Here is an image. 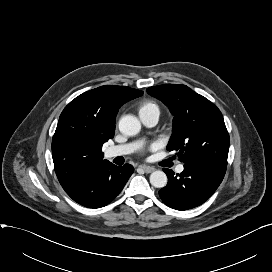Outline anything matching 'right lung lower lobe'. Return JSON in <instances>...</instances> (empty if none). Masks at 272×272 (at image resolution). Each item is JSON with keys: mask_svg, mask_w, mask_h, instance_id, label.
<instances>
[{"mask_svg": "<svg viewBox=\"0 0 272 272\" xmlns=\"http://www.w3.org/2000/svg\"><path fill=\"white\" fill-rule=\"evenodd\" d=\"M133 171L129 164L118 167L106 161L63 186V189L78 204L100 208L118 196Z\"/></svg>", "mask_w": 272, "mask_h": 272, "instance_id": "1", "label": "right lung lower lobe"}]
</instances>
